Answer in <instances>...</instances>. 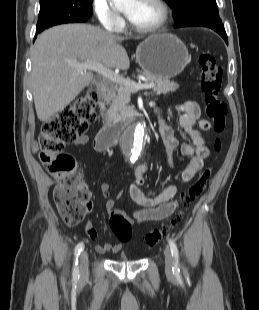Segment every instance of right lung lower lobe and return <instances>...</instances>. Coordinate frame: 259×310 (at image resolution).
Returning a JSON list of instances; mask_svg holds the SVG:
<instances>
[{"mask_svg": "<svg viewBox=\"0 0 259 310\" xmlns=\"http://www.w3.org/2000/svg\"><path fill=\"white\" fill-rule=\"evenodd\" d=\"M58 24H62V23H55V24H53V25H50L49 27H51V26H54V25H58ZM49 27H47V28H49ZM47 28H45V29H47ZM44 29V30H45ZM43 30H41V31H36V33L38 34V33H40V32H42ZM36 36L37 35H35V38H36Z\"/></svg>", "mask_w": 259, "mask_h": 310, "instance_id": "98d812e1", "label": "right lung lower lobe"}]
</instances>
